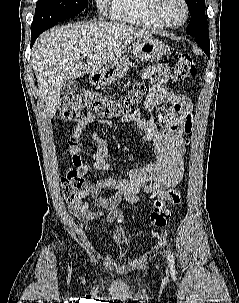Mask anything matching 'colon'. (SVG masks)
I'll use <instances>...</instances> for the list:
<instances>
[{
  "label": "colon",
  "mask_w": 239,
  "mask_h": 303,
  "mask_svg": "<svg viewBox=\"0 0 239 303\" xmlns=\"http://www.w3.org/2000/svg\"><path fill=\"white\" fill-rule=\"evenodd\" d=\"M197 74L196 66L192 58L187 55H181L175 64L173 79L175 81H184L192 78ZM145 88L141 83H136L124 95L109 99L100 94L81 91L63 97L59 105V118L63 122H73L78 120L84 110L104 119H114L129 115L135 107L140 103L144 95ZM193 128L191 117H188L183 130L186 134H190ZM185 143L188 145L189 140ZM84 186L83 177L73 169H69L61 178V188L64 200L68 204L75 203L77 195ZM182 201L181 192L175 187L168 189L166 192L157 194L153 202V210L149 219L153 226L163 227L170 219V210L167 202L172 206L180 205Z\"/></svg>",
  "instance_id": "obj_1"
}]
</instances>
